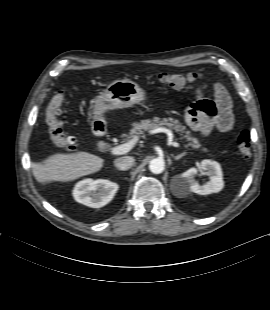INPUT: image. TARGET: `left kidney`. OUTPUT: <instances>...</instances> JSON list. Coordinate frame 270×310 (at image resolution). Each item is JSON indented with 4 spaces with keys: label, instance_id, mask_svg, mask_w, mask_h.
I'll list each match as a JSON object with an SVG mask.
<instances>
[{
    "label": "left kidney",
    "instance_id": "5707ae66",
    "mask_svg": "<svg viewBox=\"0 0 270 310\" xmlns=\"http://www.w3.org/2000/svg\"><path fill=\"white\" fill-rule=\"evenodd\" d=\"M198 171L204 172L209 176L210 181L204 185H200L195 180V175H197ZM180 182L185 191H191L199 195L217 193L224 188L223 174L220 164L208 159L203 160L198 169L192 167L182 173Z\"/></svg>",
    "mask_w": 270,
    "mask_h": 310
}]
</instances>
